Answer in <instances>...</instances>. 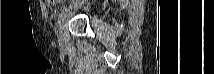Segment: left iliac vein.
<instances>
[{"label": "left iliac vein", "instance_id": "left-iliac-vein-1", "mask_svg": "<svg viewBox=\"0 0 214 74\" xmlns=\"http://www.w3.org/2000/svg\"><path fill=\"white\" fill-rule=\"evenodd\" d=\"M71 14L72 12L67 11L59 20L57 37L60 44H63L65 42L66 23Z\"/></svg>", "mask_w": 214, "mask_h": 74}]
</instances>
